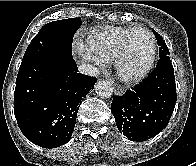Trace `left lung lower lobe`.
<instances>
[{"label":"left lung lower lobe","instance_id":"obj_1","mask_svg":"<svg viewBox=\"0 0 196 166\" xmlns=\"http://www.w3.org/2000/svg\"><path fill=\"white\" fill-rule=\"evenodd\" d=\"M176 100L174 69L169 55H165L146 80L113 98L111 112L121 134L142 142L167 126Z\"/></svg>","mask_w":196,"mask_h":166}]
</instances>
